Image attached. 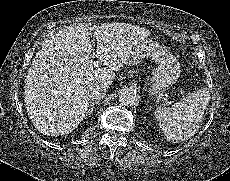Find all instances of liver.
Listing matches in <instances>:
<instances>
[{
    "label": "liver",
    "instance_id": "6515ba94",
    "mask_svg": "<svg viewBox=\"0 0 230 181\" xmlns=\"http://www.w3.org/2000/svg\"><path fill=\"white\" fill-rule=\"evenodd\" d=\"M97 41L96 55L90 42ZM150 35L145 28L119 23H80L58 32L37 53L25 82V103L34 126L46 135L68 134L85 118L86 92L109 87L114 71L127 61L131 44ZM96 56L106 67H94Z\"/></svg>",
    "mask_w": 230,
    "mask_h": 181
}]
</instances>
